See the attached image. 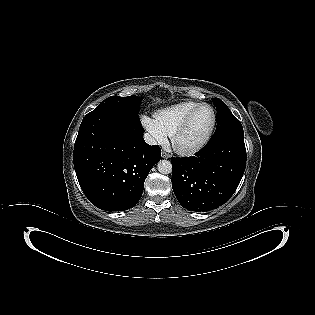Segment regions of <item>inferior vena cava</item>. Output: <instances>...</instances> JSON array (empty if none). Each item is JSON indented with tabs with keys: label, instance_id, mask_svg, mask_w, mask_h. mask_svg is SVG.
I'll list each match as a JSON object with an SVG mask.
<instances>
[{
	"label": "inferior vena cava",
	"instance_id": "1",
	"mask_svg": "<svg viewBox=\"0 0 315 315\" xmlns=\"http://www.w3.org/2000/svg\"><path fill=\"white\" fill-rule=\"evenodd\" d=\"M144 139H145L146 143H148L149 145H156L157 144V141L155 140V138L153 136H151L149 133L144 134Z\"/></svg>",
	"mask_w": 315,
	"mask_h": 315
}]
</instances>
